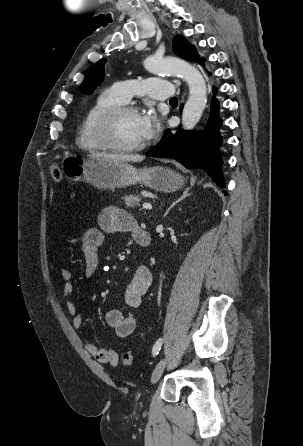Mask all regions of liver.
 I'll return each instance as SVG.
<instances>
[{
    "mask_svg": "<svg viewBox=\"0 0 303 446\" xmlns=\"http://www.w3.org/2000/svg\"><path fill=\"white\" fill-rule=\"evenodd\" d=\"M92 158L110 161V162H141L144 156L141 155H125V154H107V153H93Z\"/></svg>",
    "mask_w": 303,
    "mask_h": 446,
    "instance_id": "1",
    "label": "liver"
}]
</instances>
